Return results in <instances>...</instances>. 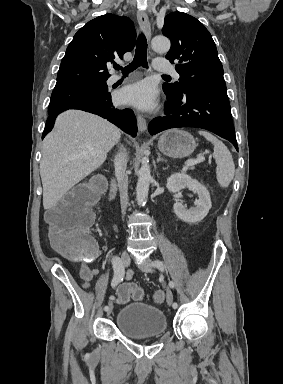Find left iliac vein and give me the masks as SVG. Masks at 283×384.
Wrapping results in <instances>:
<instances>
[{
  "mask_svg": "<svg viewBox=\"0 0 283 384\" xmlns=\"http://www.w3.org/2000/svg\"><path fill=\"white\" fill-rule=\"evenodd\" d=\"M141 269L145 272H153L154 269H153V265L150 261H146L142 266H141ZM172 300H173V295H172V292L170 291L169 288H167V303L169 305H171L172 303Z\"/></svg>",
  "mask_w": 283,
  "mask_h": 384,
  "instance_id": "obj_1",
  "label": "left iliac vein"
}]
</instances>
